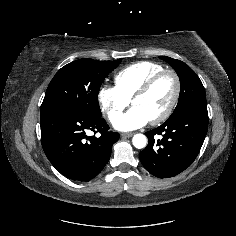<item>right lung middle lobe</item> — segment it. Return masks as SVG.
<instances>
[{"label": "right lung middle lobe", "mask_w": 236, "mask_h": 236, "mask_svg": "<svg viewBox=\"0 0 236 236\" xmlns=\"http://www.w3.org/2000/svg\"><path fill=\"white\" fill-rule=\"evenodd\" d=\"M121 60L97 61L83 58L62 67L46 90L40 116L55 109L71 108L100 117L99 89L106 76Z\"/></svg>", "instance_id": "right-lung-middle-lobe-1"}]
</instances>
